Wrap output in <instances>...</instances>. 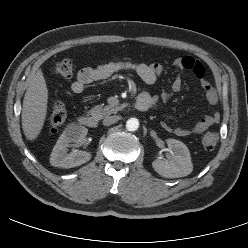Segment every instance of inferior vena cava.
<instances>
[{"mask_svg":"<svg viewBox=\"0 0 248 248\" xmlns=\"http://www.w3.org/2000/svg\"><path fill=\"white\" fill-rule=\"evenodd\" d=\"M120 119H121V117L118 115L106 116L103 120V125H105V126L112 125Z\"/></svg>","mask_w":248,"mask_h":248,"instance_id":"602c4592","label":"inferior vena cava"}]
</instances>
